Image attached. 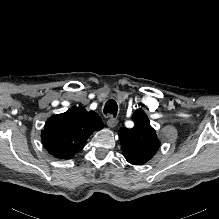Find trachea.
Returning a JSON list of instances; mask_svg holds the SVG:
<instances>
[{
    "label": "trachea",
    "instance_id": "obj_1",
    "mask_svg": "<svg viewBox=\"0 0 219 219\" xmlns=\"http://www.w3.org/2000/svg\"><path fill=\"white\" fill-rule=\"evenodd\" d=\"M117 111H118V106L116 101L113 99L108 100L104 106V113L111 114L114 117H116Z\"/></svg>",
    "mask_w": 219,
    "mask_h": 219
}]
</instances>
